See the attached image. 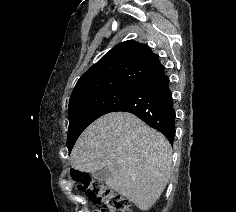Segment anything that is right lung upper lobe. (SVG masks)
<instances>
[{"label":"right lung upper lobe","mask_w":236,"mask_h":212,"mask_svg":"<svg viewBox=\"0 0 236 212\" xmlns=\"http://www.w3.org/2000/svg\"><path fill=\"white\" fill-rule=\"evenodd\" d=\"M160 65L158 55L146 44L133 40L122 42L80 77L69 103L106 91L134 88L144 76Z\"/></svg>","instance_id":"obj_1"}]
</instances>
